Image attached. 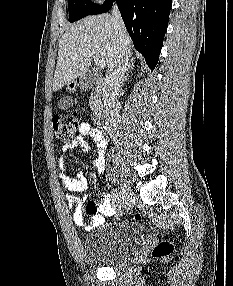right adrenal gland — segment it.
I'll return each instance as SVG.
<instances>
[{
	"label": "right adrenal gland",
	"mask_w": 233,
	"mask_h": 286,
	"mask_svg": "<svg viewBox=\"0 0 233 286\" xmlns=\"http://www.w3.org/2000/svg\"><path fill=\"white\" fill-rule=\"evenodd\" d=\"M133 69H134V58L131 59L130 63L127 66L125 81L127 80L129 73L132 72Z\"/></svg>",
	"instance_id": "1"
}]
</instances>
